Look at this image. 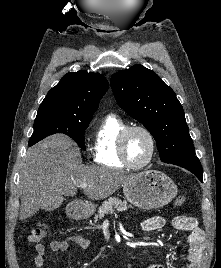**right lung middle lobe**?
<instances>
[{"instance_id": "dd1d6c3e", "label": "right lung middle lobe", "mask_w": 221, "mask_h": 268, "mask_svg": "<svg viewBox=\"0 0 221 268\" xmlns=\"http://www.w3.org/2000/svg\"><path fill=\"white\" fill-rule=\"evenodd\" d=\"M91 119L66 112L38 111L29 146L34 145L49 135L62 133L71 137L80 148L86 150L84 132Z\"/></svg>"}]
</instances>
